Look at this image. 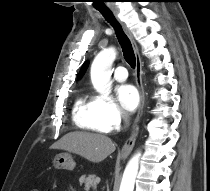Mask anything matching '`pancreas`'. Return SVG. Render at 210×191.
<instances>
[{
  "label": "pancreas",
  "instance_id": "obj_1",
  "mask_svg": "<svg viewBox=\"0 0 210 191\" xmlns=\"http://www.w3.org/2000/svg\"><path fill=\"white\" fill-rule=\"evenodd\" d=\"M80 184H84L85 189L88 191L90 189L96 190L97 184L100 182V178L96 175H83L79 179Z\"/></svg>",
  "mask_w": 210,
  "mask_h": 191
}]
</instances>
